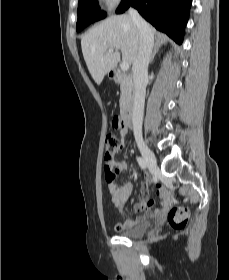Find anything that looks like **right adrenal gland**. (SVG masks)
<instances>
[{
  "label": "right adrenal gland",
  "mask_w": 229,
  "mask_h": 280,
  "mask_svg": "<svg viewBox=\"0 0 229 280\" xmlns=\"http://www.w3.org/2000/svg\"><path fill=\"white\" fill-rule=\"evenodd\" d=\"M159 48H160V44L156 43V45L154 47V50H153V53H152V56H151V59H150V63L153 62V59H154L156 53L159 51Z\"/></svg>",
  "instance_id": "1"
}]
</instances>
